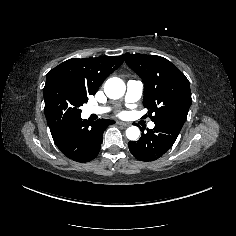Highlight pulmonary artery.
Masks as SVG:
<instances>
[{"instance_id":"obj_1","label":"pulmonary artery","mask_w":236,"mask_h":236,"mask_svg":"<svg viewBox=\"0 0 236 236\" xmlns=\"http://www.w3.org/2000/svg\"><path fill=\"white\" fill-rule=\"evenodd\" d=\"M142 92H143V88L140 82L128 81L125 98L127 101H131V102L137 101L141 98ZM108 110H109L108 108L99 107L92 104H87L84 107V114L85 115H89V114L102 115L108 112ZM154 126H155L154 122L150 121L148 123V127L150 129L154 128Z\"/></svg>"}]
</instances>
